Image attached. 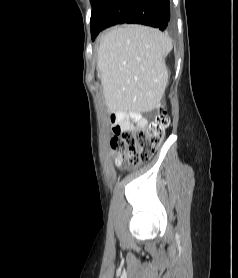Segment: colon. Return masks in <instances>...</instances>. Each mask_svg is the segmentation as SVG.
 <instances>
[{
	"mask_svg": "<svg viewBox=\"0 0 238 278\" xmlns=\"http://www.w3.org/2000/svg\"><path fill=\"white\" fill-rule=\"evenodd\" d=\"M169 123L168 112L161 107L148 127L115 133L111 146L117 154V164L135 167L150 160L162 143Z\"/></svg>",
	"mask_w": 238,
	"mask_h": 278,
	"instance_id": "5ec220e1",
	"label": "colon"
}]
</instances>
